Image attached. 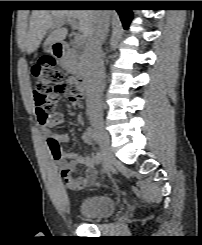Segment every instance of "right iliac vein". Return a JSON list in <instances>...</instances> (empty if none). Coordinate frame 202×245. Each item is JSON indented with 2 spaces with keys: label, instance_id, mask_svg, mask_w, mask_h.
<instances>
[{
  "label": "right iliac vein",
  "instance_id": "right-iliac-vein-1",
  "mask_svg": "<svg viewBox=\"0 0 202 245\" xmlns=\"http://www.w3.org/2000/svg\"><path fill=\"white\" fill-rule=\"evenodd\" d=\"M90 122L96 130L98 140L104 154V158H105L104 170L108 172L111 168L112 162L115 159L112 153L110 137L108 133L104 130L102 122L100 120L95 118H90Z\"/></svg>",
  "mask_w": 202,
  "mask_h": 245
}]
</instances>
